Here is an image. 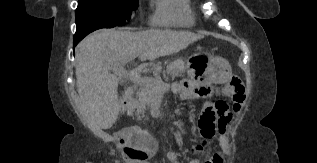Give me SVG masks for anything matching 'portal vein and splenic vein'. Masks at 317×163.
Returning <instances> with one entry per match:
<instances>
[{"label":"portal vein and splenic vein","mask_w":317,"mask_h":163,"mask_svg":"<svg viewBox=\"0 0 317 163\" xmlns=\"http://www.w3.org/2000/svg\"><path fill=\"white\" fill-rule=\"evenodd\" d=\"M133 58L132 57H127L124 60L118 62L117 64H114L110 67V70L114 72L115 75H117L119 78H128L130 81L137 83V84H151L155 87L157 91H162L164 90L166 84L161 80H147L145 78L140 77L138 73L135 74H129L124 66L127 62L131 61Z\"/></svg>","instance_id":"obj_1"}]
</instances>
